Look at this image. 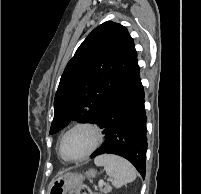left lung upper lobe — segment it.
<instances>
[{
    "instance_id": "obj_1",
    "label": "left lung upper lobe",
    "mask_w": 201,
    "mask_h": 194,
    "mask_svg": "<svg viewBox=\"0 0 201 194\" xmlns=\"http://www.w3.org/2000/svg\"><path fill=\"white\" fill-rule=\"evenodd\" d=\"M136 59L134 41L124 26L107 21L95 28L61 76L50 134L72 120L94 122Z\"/></svg>"
}]
</instances>
